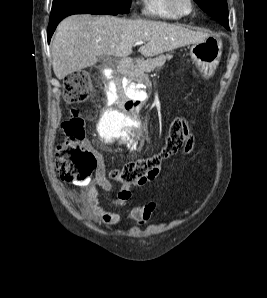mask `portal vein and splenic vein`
I'll list each match as a JSON object with an SVG mask.
<instances>
[{"label": "portal vein and splenic vein", "mask_w": 267, "mask_h": 298, "mask_svg": "<svg viewBox=\"0 0 267 298\" xmlns=\"http://www.w3.org/2000/svg\"><path fill=\"white\" fill-rule=\"evenodd\" d=\"M143 43H144V41H138V42H136V45H141Z\"/></svg>", "instance_id": "portal-vein-and-splenic-vein-1"}]
</instances>
